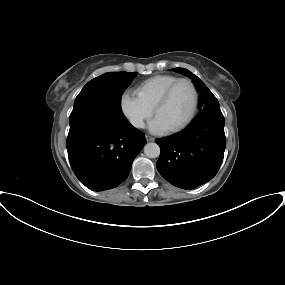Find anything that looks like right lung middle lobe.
I'll list each match as a JSON object with an SVG mask.
<instances>
[{
    "mask_svg": "<svg viewBox=\"0 0 285 285\" xmlns=\"http://www.w3.org/2000/svg\"><path fill=\"white\" fill-rule=\"evenodd\" d=\"M136 75L135 72H109L89 81L75 99L69 123L89 114L126 119L121 111V96Z\"/></svg>",
    "mask_w": 285,
    "mask_h": 285,
    "instance_id": "dd1d6c3e",
    "label": "right lung middle lobe"
}]
</instances>
